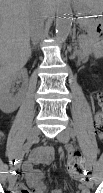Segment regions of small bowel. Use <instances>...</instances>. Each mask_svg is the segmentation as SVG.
<instances>
[{
  "label": "small bowel",
  "mask_w": 103,
  "mask_h": 193,
  "mask_svg": "<svg viewBox=\"0 0 103 193\" xmlns=\"http://www.w3.org/2000/svg\"><path fill=\"white\" fill-rule=\"evenodd\" d=\"M53 157L54 152L52 148L43 147L34 151L30 158L22 164V171L30 188L28 193H46V186L42 181L44 173L39 169H35L34 166L36 164H49L52 162ZM74 178L80 182L76 193H89L88 174L77 175ZM23 188L27 189L24 184H18L14 186L12 193H24ZM67 188L68 186L66 185L61 189L52 190L50 193H65Z\"/></svg>",
  "instance_id": "small-bowel-1"
}]
</instances>
